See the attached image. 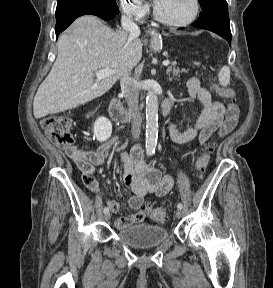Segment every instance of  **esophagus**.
I'll list each match as a JSON object with an SVG mask.
<instances>
[{"label":"esophagus","instance_id":"esophagus-1","mask_svg":"<svg viewBox=\"0 0 273 288\" xmlns=\"http://www.w3.org/2000/svg\"><path fill=\"white\" fill-rule=\"evenodd\" d=\"M149 33L156 34L157 32L155 30H150Z\"/></svg>","mask_w":273,"mask_h":288}]
</instances>
